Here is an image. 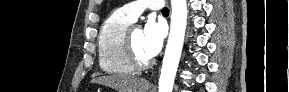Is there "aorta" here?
Here are the masks:
<instances>
[{
    "mask_svg": "<svg viewBox=\"0 0 289 92\" xmlns=\"http://www.w3.org/2000/svg\"><path fill=\"white\" fill-rule=\"evenodd\" d=\"M171 8L170 34L163 58L158 92H172L185 37L188 15L186 0H171Z\"/></svg>",
    "mask_w": 289,
    "mask_h": 92,
    "instance_id": "obj_1",
    "label": "aorta"
}]
</instances>
